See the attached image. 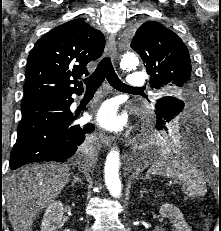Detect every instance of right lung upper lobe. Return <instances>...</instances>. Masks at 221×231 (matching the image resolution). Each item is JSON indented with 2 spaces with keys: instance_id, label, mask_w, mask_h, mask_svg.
<instances>
[{
  "instance_id": "right-lung-upper-lobe-1",
  "label": "right lung upper lobe",
  "mask_w": 221,
  "mask_h": 231,
  "mask_svg": "<svg viewBox=\"0 0 221 231\" xmlns=\"http://www.w3.org/2000/svg\"><path fill=\"white\" fill-rule=\"evenodd\" d=\"M104 45L103 34L80 19L52 29L28 56L23 101L82 93L77 79L89 74L86 65L102 55Z\"/></svg>"
}]
</instances>
